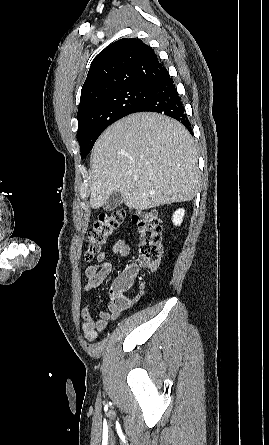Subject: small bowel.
Masks as SVG:
<instances>
[{"label":"small bowel","instance_id":"1","mask_svg":"<svg viewBox=\"0 0 269 445\" xmlns=\"http://www.w3.org/2000/svg\"><path fill=\"white\" fill-rule=\"evenodd\" d=\"M112 253L120 257H127L130 254V247L124 240H119L113 245ZM111 271L112 265L107 260V253L101 252L96 258V263L88 266L84 272L87 279L84 291L86 292L89 303L82 309L81 315L83 323L81 328L84 338L89 342H93L97 338L98 333L102 332L110 322L116 320L122 311L133 305L132 299L124 294L121 295L123 302H118L117 294L111 289V300L107 310L95 312L94 305L97 301L96 291L101 287ZM124 272L132 274L135 277L137 268L131 265L127 267Z\"/></svg>","mask_w":269,"mask_h":445}]
</instances>
